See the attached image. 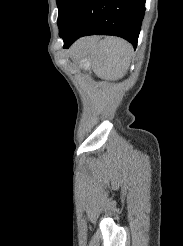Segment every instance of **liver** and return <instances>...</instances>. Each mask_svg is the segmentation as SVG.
I'll return each mask as SVG.
<instances>
[{"label": "liver", "instance_id": "obj_1", "mask_svg": "<svg viewBox=\"0 0 183 246\" xmlns=\"http://www.w3.org/2000/svg\"><path fill=\"white\" fill-rule=\"evenodd\" d=\"M98 41V38L96 37H91V38H86L80 41V45H94Z\"/></svg>", "mask_w": 183, "mask_h": 246}]
</instances>
